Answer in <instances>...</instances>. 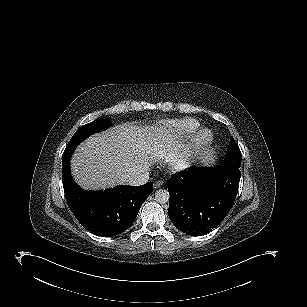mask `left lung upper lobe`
Segmentation results:
<instances>
[{
    "label": "left lung upper lobe",
    "mask_w": 307,
    "mask_h": 307,
    "mask_svg": "<svg viewBox=\"0 0 307 307\" xmlns=\"http://www.w3.org/2000/svg\"><path fill=\"white\" fill-rule=\"evenodd\" d=\"M221 166H227L236 170H239L241 166V151L233 138L230 139L225 160L221 163Z\"/></svg>",
    "instance_id": "left-lung-upper-lobe-1"
}]
</instances>
